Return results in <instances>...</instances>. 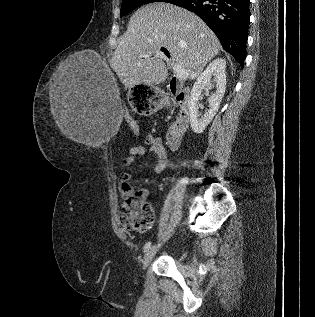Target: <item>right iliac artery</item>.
<instances>
[{
  "instance_id": "1",
  "label": "right iliac artery",
  "mask_w": 315,
  "mask_h": 317,
  "mask_svg": "<svg viewBox=\"0 0 315 317\" xmlns=\"http://www.w3.org/2000/svg\"><path fill=\"white\" fill-rule=\"evenodd\" d=\"M151 246V242H147L144 246V251H147Z\"/></svg>"
}]
</instances>
